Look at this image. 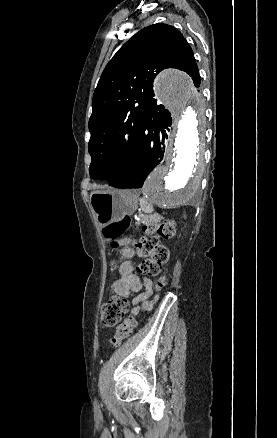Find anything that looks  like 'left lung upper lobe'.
<instances>
[{
  "label": "left lung upper lobe",
  "mask_w": 277,
  "mask_h": 438,
  "mask_svg": "<svg viewBox=\"0 0 277 438\" xmlns=\"http://www.w3.org/2000/svg\"><path fill=\"white\" fill-rule=\"evenodd\" d=\"M165 68L187 72L196 87L199 70L193 51L173 26L157 23L131 37L106 65L92 100L89 120L93 179L110 184L126 170L140 137L153 80Z\"/></svg>",
  "instance_id": "obj_1"
}]
</instances>
